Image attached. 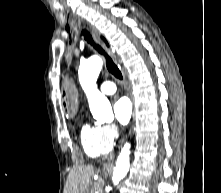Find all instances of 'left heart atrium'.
<instances>
[{
    "mask_svg": "<svg viewBox=\"0 0 221 193\" xmlns=\"http://www.w3.org/2000/svg\"><path fill=\"white\" fill-rule=\"evenodd\" d=\"M113 110L119 123L125 125L130 121L133 109L132 104L127 97L122 96L116 99L113 105Z\"/></svg>",
    "mask_w": 221,
    "mask_h": 193,
    "instance_id": "1",
    "label": "left heart atrium"
}]
</instances>
